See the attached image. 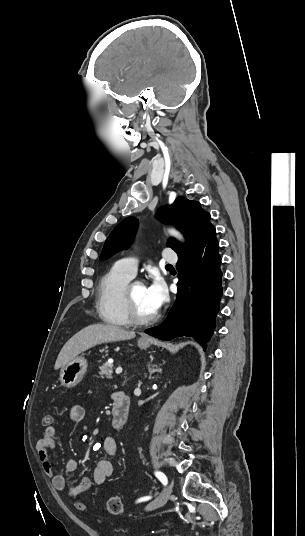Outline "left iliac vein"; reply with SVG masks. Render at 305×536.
<instances>
[{"instance_id":"left-iliac-vein-1","label":"left iliac vein","mask_w":305,"mask_h":536,"mask_svg":"<svg viewBox=\"0 0 305 536\" xmlns=\"http://www.w3.org/2000/svg\"><path fill=\"white\" fill-rule=\"evenodd\" d=\"M172 497V486L168 485L162 496L159 497L158 499H156L155 501L151 502L150 504H148L146 506V509L149 510V509H152V508H157V507H160L162 505H164V503L170 499Z\"/></svg>"}]
</instances>
